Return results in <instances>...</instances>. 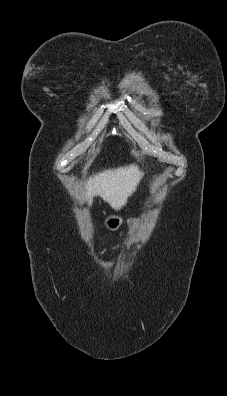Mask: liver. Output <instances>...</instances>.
Returning <instances> with one entry per match:
<instances>
[{
    "mask_svg": "<svg viewBox=\"0 0 227 396\" xmlns=\"http://www.w3.org/2000/svg\"><path fill=\"white\" fill-rule=\"evenodd\" d=\"M142 176L143 172L134 164L105 170L88 180L87 202L92 205L93 197L100 196L114 210H120L136 191Z\"/></svg>",
    "mask_w": 227,
    "mask_h": 396,
    "instance_id": "liver-1",
    "label": "liver"
}]
</instances>
